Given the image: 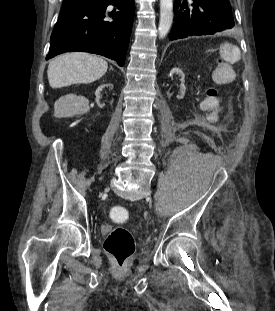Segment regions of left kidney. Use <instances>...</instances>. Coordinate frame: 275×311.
<instances>
[{
  "instance_id": "1",
  "label": "left kidney",
  "mask_w": 275,
  "mask_h": 311,
  "mask_svg": "<svg viewBox=\"0 0 275 311\" xmlns=\"http://www.w3.org/2000/svg\"><path fill=\"white\" fill-rule=\"evenodd\" d=\"M178 74L180 75L181 78L178 77ZM184 78H185V75L179 68H173L169 74V79L175 80V82L172 84V87L174 89H180V94L177 95L178 99H183L185 95L186 87L184 85V82H185Z\"/></svg>"
}]
</instances>
